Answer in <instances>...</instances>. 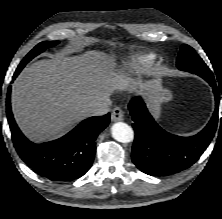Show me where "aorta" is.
I'll return each instance as SVG.
<instances>
[{
	"label": "aorta",
	"mask_w": 222,
	"mask_h": 219,
	"mask_svg": "<svg viewBox=\"0 0 222 219\" xmlns=\"http://www.w3.org/2000/svg\"><path fill=\"white\" fill-rule=\"evenodd\" d=\"M111 133L112 137L121 143L131 142L134 138L132 128L124 122L114 123L111 127Z\"/></svg>",
	"instance_id": "762f6f07"
}]
</instances>
